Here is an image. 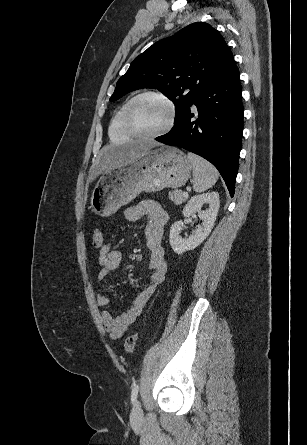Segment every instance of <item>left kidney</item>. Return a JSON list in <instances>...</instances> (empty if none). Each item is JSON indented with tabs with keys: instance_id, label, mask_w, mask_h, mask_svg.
I'll list each match as a JSON object with an SVG mask.
<instances>
[{
	"instance_id": "obj_1",
	"label": "left kidney",
	"mask_w": 307,
	"mask_h": 445,
	"mask_svg": "<svg viewBox=\"0 0 307 445\" xmlns=\"http://www.w3.org/2000/svg\"><path fill=\"white\" fill-rule=\"evenodd\" d=\"M208 202V210H201V206ZM220 198L218 192H204V194H195L188 200L182 212L184 216H191L193 212H198L199 218H202L203 223L196 231H193L189 237H181V231H184L185 225L182 220H177L170 229V245L174 253L182 255L185 251H193L198 245L203 243L204 239L210 235L214 225L216 216L218 214Z\"/></svg>"
}]
</instances>
